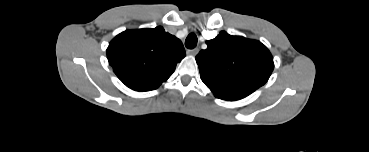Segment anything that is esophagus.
Listing matches in <instances>:
<instances>
[{
  "label": "esophagus",
  "mask_w": 369,
  "mask_h": 152,
  "mask_svg": "<svg viewBox=\"0 0 369 152\" xmlns=\"http://www.w3.org/2000/svg\"><path fill=\"white\" fill-rule=\"evenodd\" d=\"M198 52H199V48H194V49L187 50V53H188L189 55H192V56L197 55V54H198Z\"/></svg>",
  "instance_id": "esophagus-1"
}]
</instances>
